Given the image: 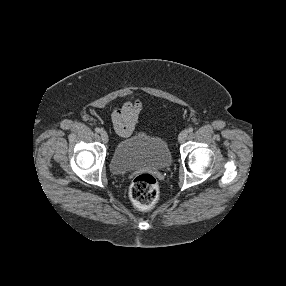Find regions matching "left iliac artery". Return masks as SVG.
I'll use <instances>...</instances> for the list:
<instances>
[{
    "label": "left iliac artery",
    "mask_w": 286,
    "mask_h": 286,
    "mask_svg": "<svg viewBox=\"0 0 286 286\" xmlns=\"http://www.w3.org/2000/svg\"><path fill=\"white\" fill-rule=\"evenodd\" d=\"M188 133H192L193 132V128L192 127H190V128H188Z\"/></svg>",
    "instance_id": "44dca946"
}]
</instances>
